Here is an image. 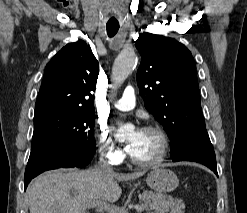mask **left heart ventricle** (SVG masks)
<instances>
[{
	"label": "left heart ventricle",
	"instance_id": "b2bd125f",
	"mask_svg": "<svg viewBox=\"0 0 247 213\" xmlns=\"http://www.w3.org/2000/svg\"><path fill=\"white\" fill-rule=\"evenodd\" d=\"M133 137L134 133L129 136V140ZM160 147L161 141L157 134L142 131L131 154L139 160L147 161L158 155Z\"/></svg>",
	"mask_w": 247,
	"mask_h": 213
}]
</instances>
